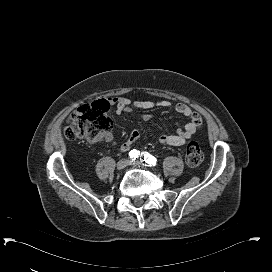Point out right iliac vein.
Segmentation results:
<instances>
[{
	"mask_svg": "<svg viewBox=\"0 0 272 272\" xmlns=\"http://www.w3.org/2000/svg\"><path fill=\"white\" fill-rule=\"evenodd\" d=\"M130 160L128 158L121 159L120 161L117 162L116 168L118 170H123L128 164Z\"/></svg>",
	"mask_w": 272,
	"mask_h": 272,
	"instance_id": "63e3f726",
	"label": "right iliac vein"
}]
</instances>
